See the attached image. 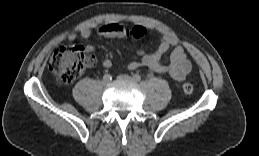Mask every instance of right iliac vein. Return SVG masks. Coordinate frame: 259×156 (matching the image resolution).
<instances>
[{"instance_id":"1","label":"right iliac vein","mask_w":259,"mask_h":156,"mask_svg":"<svg viewBox=\"0 0 259 156\" xmlns=\"http://www.w3.org/2000/svg\"><path fill=\"white\" fill-rule=\"evenodd\" d=\"M109 83H110V80H105V79L102 80V85H103V86H106V85H108Z\"/></svg>"}]
</instances>
